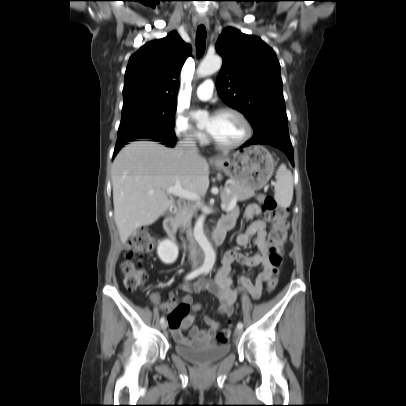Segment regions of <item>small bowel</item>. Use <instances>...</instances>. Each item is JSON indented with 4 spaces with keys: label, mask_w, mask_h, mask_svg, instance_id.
Listing matches in <instances>:
<instances>
[{
    "label": "small bowel",
    "mask_w": 406,
    "mask_h": 406,
    "mask_svg": "<svg viewBox=\"0 0 406 406\" xmlns=\"http://www.w3.org/2000/svg\"><path fill=\"white\" fill-rule=\"evenodd\" d=\"M261 213L262 210L257 204H251L247 207L244 213L245 219L252 220L254 217L256 218L249 223L245 231L239 234L236 239L237 244L240 246H245L248 243L253 242L258 249L256 254L253 256H246L236 250L227 251L222 257L221 266L214 279L200 282L195 286L189 283H182L179 286V289L186 293L208 289L217 297L219 301V312L226 317L233 315L234 303L239 293L244 292L249 294L253 299H259L262 295L264 284L274 275V267L269 261V251L266 243V223L261 218ZM237 216V209H233L221 221H231L235 223ZM234 263L248 267L261 266L262 271L257 275L254 282L251 281L247 274L241 275L238 278V288H234L232 279V265ZM151 299L153 303L157 304L161 309L172 313L178 306L188 308V314L180 320L176 327H173L170 324L173 335L180 342L190 344V339L183 334V331L189 328L192 341L208 345L214 342V336L220 328V322L207 316L205 317V322L208 325V329L192 326L193 315L191 313V308L194 311H197L200 309V305L193 304L190 295H186L180 302L174 294L170 295V298L166 303L160 302L157 293H153Z\"/></svg>",
    "instance_id": "obj_1"
}]
</instances>
